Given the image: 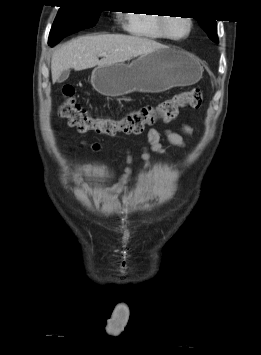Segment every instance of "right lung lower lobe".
Returning <instances> with one entry per match:
<instances>
[{"label":"right lung lower lobe","mask_w":261,"mask_h":355,"mask_svg":"<svg viewBox=\"0 0 261 355\" xmlns=\"http://www.w3.org/2000/svg\"><path fill=\"white\" fill-rule=\"evenodd\" d=\"M59 41H57V42H48V44L50 45V46H53V45H55L56 43H58Z\"/></svg>","instance_id":"98d812e1"}]
</instances>
